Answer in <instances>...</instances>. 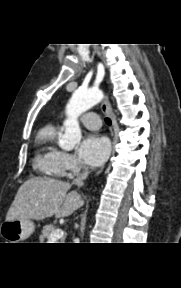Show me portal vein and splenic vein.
Wrapping results in <instances>:
<instances>
[{
  "mask_svg": "<svg viewBox=\"0 0 181 288\" xmlns=\"http://www.w3.org/2000/svg\"><path fill=\"white\" fill-rule=\"evenodd\" d=\"M64 235L63 230L61 229H57L54 232L51 233L50 237H49V241H56L59 240L60 238H62Z\"/></svg>",
  "mask_w": 181,
  "mask_h": 288,
  "instance_id": "1",
  "label": "portal vein and splenic vein"
}]
</instances>
